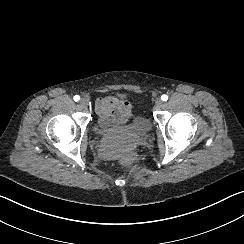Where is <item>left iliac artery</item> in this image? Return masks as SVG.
<instances>
[{
  "mask_svg": "<svg viewBox=\"0 0 244 244\" xmlns=\"http://www.w3.org/2000/svg\"><path fill=\"white\" fill-rule=\"evenodd\" d=\"M161 99H162L163 101H167V100H168V96L164 94V95L161 96Z\"/></svg>",
  "mask_w": 244,
  "mask_h": 244,
  "instance_id": "obj_1",
  "label": "left iliac artery"
}]
</instances>
